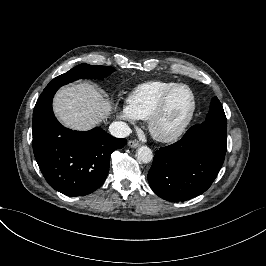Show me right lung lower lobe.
I'll return each mask as SVG.
<instances>
[{
	"label": "right lung lower lobe",
	"instance_id": "1",
	"mask_svg": "<svg viewBox=\"0 0 266 266\" xmlns=\"http://www.w3.org/2000/svg\"><path fill=\"white\" fill-rule=\"evenodd\" d=\"M59 86L44 89L33 112V151L48 184L67 196H84L105 181L110 155L127 140L101 128L72 131L62 126L52 110Z\"/></svg>",
	"mask_w": 266,
	"mask_h": 266
}]
</instances>
